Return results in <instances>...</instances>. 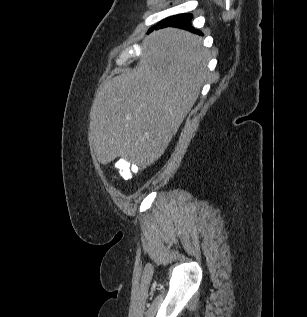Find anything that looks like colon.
<instances>
[{
  "instance_id": "colon-1",
  "label": "colon",
  "mask_w": 307,
  "mask_h": 317,
  "mask_svg": "<svg viewBox=\"0 0 307 317\" xmlns=\"http://www.w3.org/2000/svg\"><path fill=\"white\" fill-rule=\"evenodd\" d=\"M114 167L117 170L119 176L123 179H130L139 169L137 166L131 165L125 160L116 161Z\"/></svg>"
}]
</instances>
